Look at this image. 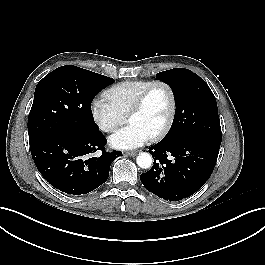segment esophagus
<instances>
[{"instance_id": "obj_1", "label": "esophagus", "mask_w": 265, "mask_h": 265, "mask_svg": "<svg viewBox=\"0 0 265 265\" xmlns=\"http://www.w3.org/2000/svg\"><path fill=\"white\" fill-rule=\"evenodd\" d=\"M137 151H128V152H125L124 153V155H126V156H135V155H137Z\"/></svg>"}]
</instances>
